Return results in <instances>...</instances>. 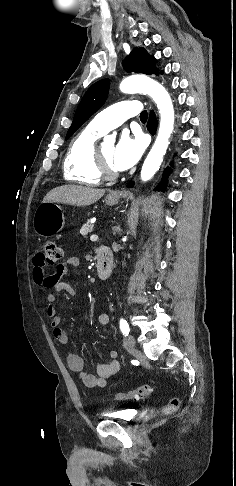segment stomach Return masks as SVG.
<instances>
[{
    "label": "stomach",
    "instance_id": "obj_1",
    "mask_svg": "<svg viewBox=\"0 0 236 486\" xmlns=\"http://www.w3.org/2000/svg\"><path fill=\"white\" fill-rule=\"evenodd\" d=\"M118 196H107L105 202L109 206L118 203ZM65 217L61 207L55 202H43L35 211L33 228L37 235L49 237L61 231L64 227Z\"/></svg>",
    "mask_w": 236,
    "mask_h": 486
}]
</instances>
